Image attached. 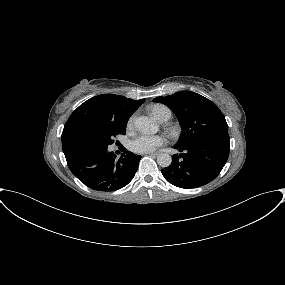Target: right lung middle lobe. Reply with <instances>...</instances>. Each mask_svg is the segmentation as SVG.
Wrapping results in <instances>:
<instances>
[{"label":"right lung middle lobe","mask_w":285,"mask_h":285,"mask_svg":"<svg viewBox=\"0 0 285 285\" xmlns=\"http://www.w3.org/2000/svg\"><path fill=\"white\" fill-rule=\"evenodd\" d=\"M126 125L127 124H116V125L107 126L98 135H96L94 138L88 141L85 146H95L103 148L108 147V145L114 142L113 138L116 135L119 134L125 135Z\"/></svg>","instance_id":"dd1d6c3e"}]
</instances>
